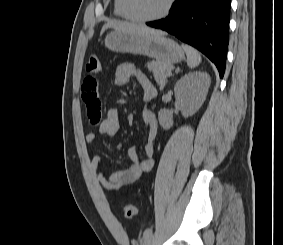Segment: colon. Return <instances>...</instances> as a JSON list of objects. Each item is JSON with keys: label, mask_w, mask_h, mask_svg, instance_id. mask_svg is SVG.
Segmentation results:
<instances>
[{"label": "colon", "mask_w": 283, "mask_h": 245, "mask_svg": "<svg viewBox=\"0 0 283 245\" xmlns=\"http://www.w3.org/2000/svg\"><path fill=\"white\" fill-rule=\"evenodd\" d=\"M100 61L97 56H91L87 62L86 70L90 74H97L100 72ZM123 212L125 217L132 218L137 213V208L133 204H125L123 206Z\"/></svg>", "instance_id": "5ec220e1"}]
</instances>
